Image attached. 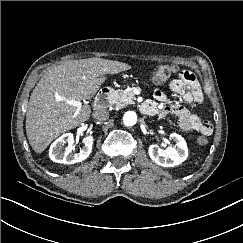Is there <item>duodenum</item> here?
I'll return each mask as SVG.
<instances>
[{"label": "duodenum", "mask_w": 243, "mask_h": 243, "mask_svg": "<svg viewBox=\"0 0 243 243\" xmlns=\"http://www.w3.org/2000/svg\"><path fill=\"white\" fill-rule=\"evenodd\" d=\"M113 92L111 87L103 88L96 96L94 100V109L100 110L107 106L108 100Z\"/></svg>", "instance_id": "1"}]
</instances>
